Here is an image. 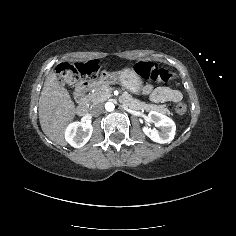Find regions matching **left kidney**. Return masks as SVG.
Instances as JSON below:
<instances>
[{
	"mask_svg": "<svg viewBox=\"0 0 236 236\" xmlns=\"http://www.w3.org/2000/svg\"><path fill=\"white\" fill-rule=\"evenodd\" d=\"M148 117L153 125L160 127V131L158 132L156 129L152 130L150 127L142 126L141 130L143 133L155 143L165 144L171 142L174 138L176 127L173 120L153 110L149 112Z\"/></svg>",
	"mask_w": 236,
	"mask_h": 236,
	"instance_id": "5707ae66",
	"label": "left kidney"
}]
</instances>
